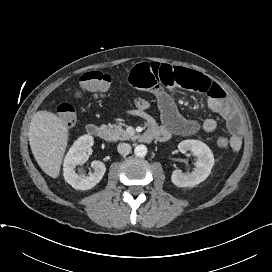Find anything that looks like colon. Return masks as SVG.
I'll use <instances>...</instances> for the list:
<instances>
[{
	"label": "colon",
	"instance_id": "5ec220e1",
	"mask_svg": "<svg viewBox=\"0 0 272 272\" xmlns=\"http://www.w3.org/2000/svg\"><path fill=\"white\" fill-rule=\"evenodd\" d=\"M111 76L100 71H89L82 75L80 78L81 87L90 95L98 97L106 93L111 87ZM136 108L147 110L150 108V102L144 98L138 97L134 100ZM60 119L64 124L71 126L76 120V112L74 107L67 102L59 105L57 109ZM217 145L220 148L229 146V139L220 136L217 138Z\"/></svg>",
	"mask_w": 272,
	"mask_h": 272
}]
</instances>
